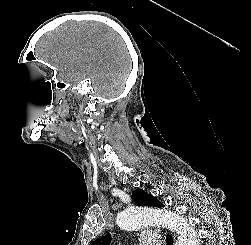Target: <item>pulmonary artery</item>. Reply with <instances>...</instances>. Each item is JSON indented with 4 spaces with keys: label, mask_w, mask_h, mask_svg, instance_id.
Segmentation results:
<instances>
[{
    "label": "pulmonary artery",
    "mask_w": 251,
    "mask_h": 245,
    "mask_svg": "<svg viewBox=\"0 0 251 245\" xmlns=\"http://www.w3.org/2000/svg\"><path fill=\"white\" fill-rule=\"evenodd\" d=\"M160 243L159 236L154 232L143 233L140 236L141 245H158Z\"/></svg>",
    "instance_id": "e3ab8cb5"
}]
</instances>
